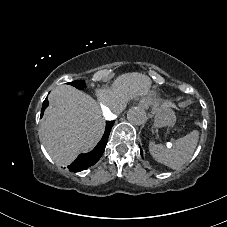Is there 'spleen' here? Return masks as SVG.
Wrapping results in <instances>:
<instances>
[{"label":"spleen","instance_id":"obj_1","mask_svg":"<svg viewBox=\"0 0 227 227\" xmlns=\"http://www.w3.org/2000/svg\"><path fill=\"white\" fill-rule=\"evenodd\" d=\"M199 139V132L194 130L185 137L177 139L173 147L168 148L162 143L156 144L153 140L149 141L148 150L152 158L171 169H179L191 157Z\"/></svg>","mask_w":227,"mask_h":227}]
</instances>
